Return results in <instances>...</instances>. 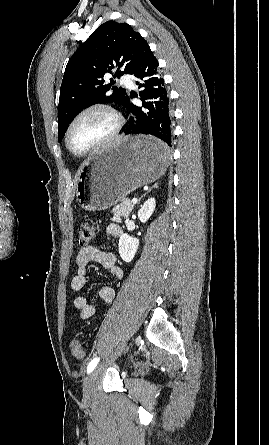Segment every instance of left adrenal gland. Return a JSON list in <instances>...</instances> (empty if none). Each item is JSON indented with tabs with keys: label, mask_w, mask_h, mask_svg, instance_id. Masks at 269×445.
Wrapping results in <instances>:
<instances>
[{
	"label": "left adrenal gland",
	"mask_w": 269,
	"mask_h": 445,
	"mask_svg": "<svg viewBox=\"0 0 269 445\" xmlns=\"http://www.w3.org/2000/svg\"><path fill=\"white\" fill-rule=\"evenodd\" d=\"M157 187H158V184L157 183L154 184V186H152L144 195H142L139 200H141V198H143V196H145L147 193H149L153 188H157Z\"/></svg>",
	"instance_id": "left-adrenal-gland-1"
}]
</instances>
